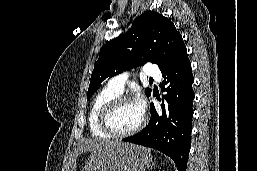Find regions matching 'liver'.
Masks as SVG:
<instances>
[{
    "label": "liver",
    "instance_id": "obj_1",
    "mask_svg": "<svg viewBox=\"0 0 257 171\" xmlns=\"http://www.w3.org/2000/svg\"><path fill=\"white\" fill-rule=\"evenodd\" d=\"M115 143L114 141H105V140H84L81 144V146L76 150L75 154L71 157L69 164H68V170L67 171H75L76 170V158L78 154H80L83 151H95L102 148H105L111 144Z\"/></svg>",
    "mask_w": 257,
    "mask_h": 171
}]
</instances>
